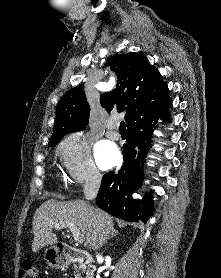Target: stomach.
Listing matches in <instances>:
<instances>
[{
	"label": "stomach",
	"mask_w": 221,
	"mask_h": 278,
	"mask_svg": "<svg viewBox=\"0 0 221 278\" xmlns=\"http://www.w3.org/2000/svg\"><path fill=\"white\" fill-rule=\"evenodd\" d=\"M44 259L54 269H59L65 265L63 256L58 253L56 247L47 248L44 253Z\"/></svg>",
	"instance_id": "stomach-1"
}]
</instances>
